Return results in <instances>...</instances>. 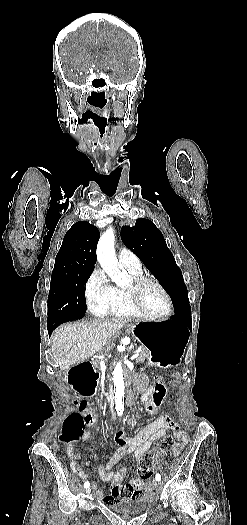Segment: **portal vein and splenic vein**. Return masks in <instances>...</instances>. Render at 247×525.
<instances>
[{
  "label": "portal vein and splenic vein",
  "mask_w": 247,
  "mask_h": 525,
  "mask_svg": "<svg viewBox=\"0 0 247 525\" xmlns=\"http://www.w3.org/2000/svg\"><path fill=\"white\" fill-rule=\"evenodd\" d=\"M139 356H140V353H134V355H130V361H134V358H139ZM98 361H99L100 366H101L100 370H102L99 383H105V380H106L105 360H102V358H98Z\"/></svg>",
  "instance_id": "portal-vein-and-splenic-vein-1"
}]
</instances>
